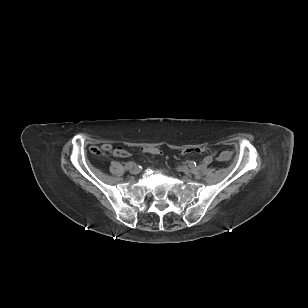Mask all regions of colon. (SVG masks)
<instances>
[{
    "mask_svg": "<svg viewBox=\"0 0 308 308\" xmlns=\"http://www.w3.org/2000/svg\"><path fill=\"white\" fill-rule=\"evenodd\" d=\"M141 149H142L143 152H146V153H151V154H157L158 153V149H156V148L142 147ZM111 151H112V148H108L106 151H102L101 149H97V148L94 149V153H96V154H106V153H110ZM207 151H208V149L205 148V147H197V148L184 149L183 153L184 154L202 155V154L206 153ZM112 152L117 157L128 156V152L126 150H124L123 148H116Z\"/></svg>",
    "mask_w": 308,
    "mask_h": 308,
    "instance_id": "obj_1",
    "label": "colon"
}]
</instances>
